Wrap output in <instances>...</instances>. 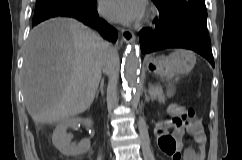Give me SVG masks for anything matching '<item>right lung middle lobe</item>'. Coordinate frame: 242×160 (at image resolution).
<instances>
[{
  "label": "right lung middle lobe",
  "instance_id": "1",
  "mask_svg": "<svg viewBox=\"0 0 242 160\" xmlns=\"http://www.w3.org/2000/svg\"><path fill=\"white\" fill-rule=\"evenodd\" d=\"M91 0H37L35 10H39L43 7L53 4H68V5H88Z\"/></svg>",
  "mask_w": 242,
  "mask_h": 160
}]
</instances>
